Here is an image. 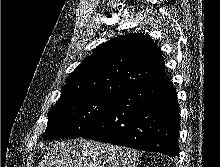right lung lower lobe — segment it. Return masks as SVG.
<instances>
[{"mask_svg": "<svg viewBox=\"0 0 220 167\" xmlns=\"http://www.w3.org/2000/svg\"><path fill=\"white\" fill-rule=\"evenodd\" d=\"M179 127L176 93L163 77L115 96L105 115L81 137L176 157Z\"/></svg>", "mask_w": 220, "mask_h": 167, "instance_id": "right-lung-lower-lobe-1", "label": "right lung lower lobe"}]
</instances>
